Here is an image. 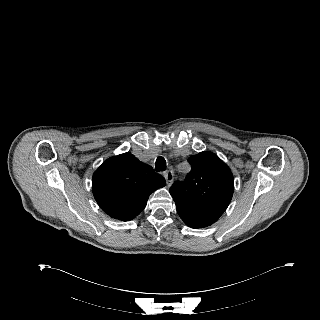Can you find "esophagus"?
Returning a JSON list of instances; mask_svg holds the SVG:
<instances>
[{"label": "esophagus", "instance_id": "obj_1", "mask_svg": "<svg viewBox=\"0 0 320 320\" xmlns=\"http://www.w3.org/2000/svg\"><path fill=\"white\" fill-rule=\"evenodd\" d=\"M164 177L166 179L167 185L170 186L174 179V172L169 170L164 173Z\"/></svg>", "mask_w": 320, "mask_h": 320}]
</instances>
